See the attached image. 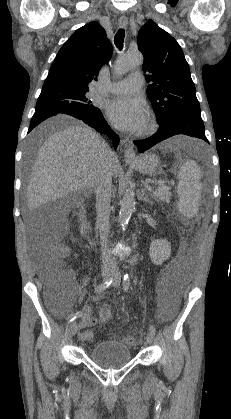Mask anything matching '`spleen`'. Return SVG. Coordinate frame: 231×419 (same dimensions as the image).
I'll return each mask as SVG.
<instances>
[{"mask_svg": "<svg viewBox=\"0 0 231 419\" xmlns=\"http://www.w3.org/2000/svg\"><path fill=\"white\" fill-rule=\"evenodd\" d=\"M200 178V168L193 160L185 161L178 171V208L184 216L189 218L195 216L198 212V204L202 190Z\"/></svg>", "mask_w": 231, "mask_h": 419, "instance_id": "3e777b00", "label": "spleen"}]
</instances>
